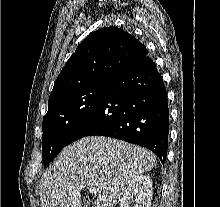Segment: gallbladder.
I'll list each match as a JSON object with an SVG mask.
<instances>
[{
  "instance_id": "obj_1",
  "label": "gallbladder",
  "mask_w": 220,
  "mask_h": 207,
  "mask_svg": "<svg viewBox=\"0 0 220 207\" xmlns=\"http://www.w3.org/2000/svg\"><path fill=\"white\" fill-rule=\"evenodd\" d=\"M85 207H93L90 200L85 201Z\"/></svg>"
}]
</instances>
